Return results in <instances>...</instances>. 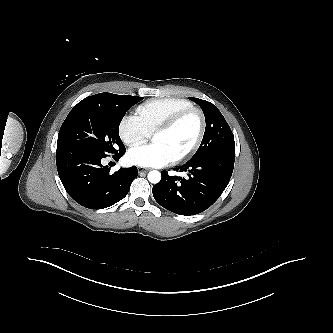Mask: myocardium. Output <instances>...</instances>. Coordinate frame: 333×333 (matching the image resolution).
<instances>
[{
	"label": "myocardium",
	"mask_w": 333,
	"mask_h": 333,
	"mask_svg": "<svg viewBox=\"0 0 333 333\" xmlns=\"http://www.w3.org/2000/svg\"><path fill=\"white\" fill-rule=\"evenodd\" d=\"M192 114H195L199 119V129H198L196 138L188 149H186L184 152L177 155L176 157L172 158V160H171L172 163H179V162L186 160L191 155H193L196 152V150L198 149V147L200 146V144L203 140L205 131H206V118H205L203 111L197 107H191V108L185 109V110L175 114L168 120H166L164 123H162L160 126H158L153 132V135H155L156 133L170 131L175 126H177L181 121H183L185 118H187L188 116H190Z\"/></svg>",
	"instance_id": "myocardium-1"
}]
</instances>
